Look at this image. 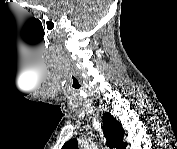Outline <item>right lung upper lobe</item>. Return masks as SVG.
<instances>
[{
  "instance_id": "1",
  "label": "right lung upper lobe",
  "mask_w": 177,
  "mask_h": 149,
  "mask_svg": "<svg viewBox=\"0 0 177 149\" xmlns=\"http://www.w3.org/2000/svg\"><path fill=\"white\" fill-rule=\"evenodd\" d=\"M103 129L109 147L123 149L127 146V143L123 142L124 130L122 125L110 113L103 114ZM63 149H78L77 140H69L65 143Z\"/></svg>"
}]
</instances>
